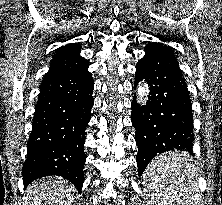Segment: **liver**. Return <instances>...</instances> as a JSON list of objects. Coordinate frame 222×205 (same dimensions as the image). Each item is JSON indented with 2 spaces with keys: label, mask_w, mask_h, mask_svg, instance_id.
<instances>
[{
  "label": "liver",
  "mask_w": 222,
  "mask_h": 205,
  "mask_svg": "<svg viewBox=\"0 0 222 205\" xmlns=\"http://www.w3.org/2000/svg\"><path fill=\"white\" fill-rule=\"evenodd\" d=\"M75 191L64 178H41L27 187L25 205H71Z\"/></svg>",
  "instance_id": "1"
}]
</instances>
